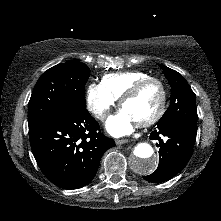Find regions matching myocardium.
Segmentation results:
<instances>
[{
  "instance_id": "obj_1",
  "label": "myocardium",
  "mask_w": 221,
  "mask_h": 221,
  "mask_svg": "<svg viewBox=\"0 0 221 221\" xmlns=\"http://www.w3.org/2000/svg\"><path fill=\"white\" fill-rule=\"evenodd\" d=\"M157 83L160 87L161 90V102L159 105L158 110L156 111V113L151 116L150 118L141 121V122H137V125L140 127H147L150 125H153L154 123H156L157 121H159L161 119V117L163 116V114L165 113V109H166V104H167V90H166V86L164 84V82L157 78V77H153V76H149L147 78H144L140 81H138L136 84H134L121 98H120V108L122 109L124 104L131 100L132 98H134L135 96H137L140 91L149 83Z\"/></svg>"
}]
</instances>
